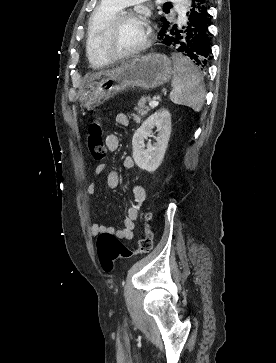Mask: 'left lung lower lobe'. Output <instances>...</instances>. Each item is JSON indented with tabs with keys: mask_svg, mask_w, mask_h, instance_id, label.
I'll use <instances>...</instances> for the list:
<instances>
[{
	"mask_svg": "<svg viewBox=\"0 0 276 363\" xmlns=\"http://www.w3.org/2000/svg\"><path fill=\"white\" fill-rule=\"evenodd\" d=\"M207 0H188V11L183 24L169 23L158 33V43L192 60L206 70L210 52Z\"/></svg>",
	"mask_w": 276,
	"mask_h": 363,
	"instance_id": "1",
	"label": "left lung lower lobe"
}]
</instances>
